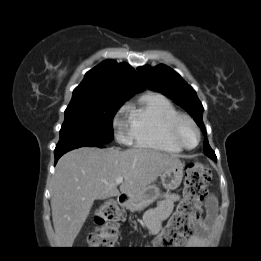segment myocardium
Returning <instances> with one entry per match:
<instances>
[{"label": "myocardium", "mask_w": 261, "mask_h": 261, "mask_svg": "<svg viewBox=\"0 0 261 261\" xmlns=\"http://www.w3.org/2000/svg\"><path fill=\"white\" fill-rule=\"evenodd\" d=\"M184 126H190L195 131L196 136H197V141L194 146H188L185 144V142L182 138V129ZM171 136H172L174 142L180 148L185 149V150L195 149L201 141V133H200V130H199L197 124L194 122V120L192 118H190L187 115H180L174 120V122L171 125Z\"/></svg>", "instance_id": "1"}]
</instances>
